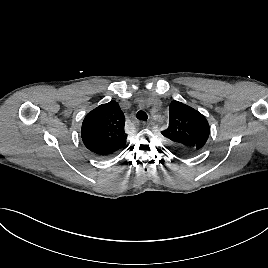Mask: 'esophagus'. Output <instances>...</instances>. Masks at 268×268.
Segmentation results:
<instances>
[{"label":"esophagus","mask_w":268,"mask_h":268,"mask_svg":"<svg viewBox=\"0 0 268 268\" xmlns=\"http://www.w3.org/2000/svg\"><path fill=\"white\" fill-rule=\"evenodd\" d=\"M138 123L141 124V125H143V126L147 125V123L146 122H143V121H138Z\"/></svg>","instance_id":"esophagus-1"}]
</instances>
